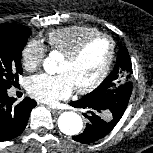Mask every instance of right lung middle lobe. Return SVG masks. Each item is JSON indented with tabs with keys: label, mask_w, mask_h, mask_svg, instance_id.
<instances>
[{
	"label": "right lung middle lobe",
	"mask_w": 153,
	"mask_h": 153,
	"mask_svg": "<svg viewBox=\"0 0 153 153\" xmlns=\"http://www.w3.org/2000/svg\"><path fill=\"white\" fill-rule=\"evenodd\" d=\"M31 30L23 25L0 26V89L7 90L22 74L21 52Z\"/></svg>",
	"instance_id": "obj_1"
}]
</instances>
